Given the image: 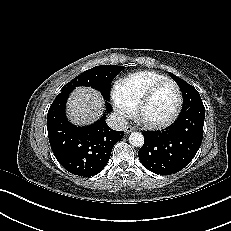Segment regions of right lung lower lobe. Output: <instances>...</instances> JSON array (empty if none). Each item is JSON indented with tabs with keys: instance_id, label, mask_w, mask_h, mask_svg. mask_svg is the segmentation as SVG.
<instances>
[{
	"instance_id": "98d812e1",
	"label": "right lung lower lobe",
	"mask_w": 231,
	"mask_h": 231,
	"mask_svg": "<svg viewBox=\"0 0 231 231\" xmlns=\"http://www.w3.org/2000/svg\"><path fill=\"white\" fill-rule=\"evenodd\" d=\"M72 90L61 89L47 115V130L51 149L58 162L69 172L90 177L107 165L116 142L124 131L112 130L105 115L89 126L72 125L65 116V104ZM111 106L107 103V111Z\"/></svg>"
}]
</instances>
